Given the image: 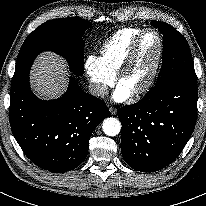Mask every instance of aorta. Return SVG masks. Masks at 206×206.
I'll return each instance as SVG.
<instances>
[{"mask_svg":"<svg viewBox=\"0 0 206 206\" xmlns=\"http://www.w3.org/2000/svg\"><path fill=\"white\" fill-rule=\"evenodd\" d=\"M102 129L106 135L116 136L121 130V123L118 119L114 117H109L103 121Z\"/></svg>","mask_w":206,"mask_h":206,"instance_id":"1","label":"aorta"}]
</instances>
